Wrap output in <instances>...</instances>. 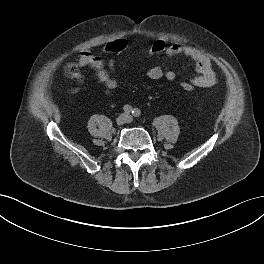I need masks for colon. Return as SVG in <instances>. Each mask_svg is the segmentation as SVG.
I'll return each mask as SVG.
<instances>
[{
	"instance_id": "obj_1",
	"label": "colon",
	"mask_w": 264,
	"mask_h": 264,
	"mask_svg": "<svg viewBox=\"0 0 264 264\" xmlns=\"http://www.w3.org/2000/svg\"><path fill=\"white\" fill-rule=\"evenodd\" d=\"M128 47V42L124 38H116L111 41H109L105 45V52L108 54H115L119 55L122 52H124ZM166 49V42L163 39H157L155 40L148 48V55L150 57H154L156 55L161 54ZM67 74L72 78L79 77V69L77 64L71 63L67 66ZM180 87L182 90L190 92L193 91L196 86L191 81H183L180 83Z\"/></svg>"
}]
</instances>
